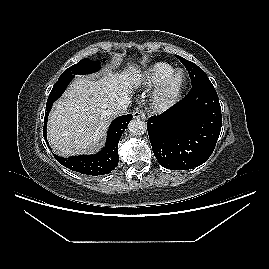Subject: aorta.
Returning <instances> with one entry per match:
<instances>
[{
  "instance_id": "aorta-1",
  "label": "aorta",
  "mask_w": 269,
  "mask_h": 269,
  "mask_svg": "<svg viewBox=\"0 0 269 269\" xmlns=\"http://www.w3.org/2000/svg\"><path fill=\"white\" fill-rule=\"evenodd\" d=\"M129 132L133 135H142L147 130L146 122L140 119H133L128 125Z\"/></svg>"
}]
</instances>
